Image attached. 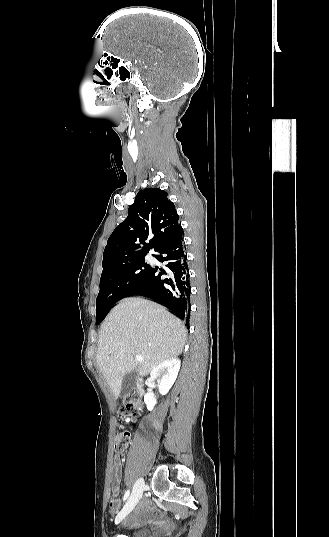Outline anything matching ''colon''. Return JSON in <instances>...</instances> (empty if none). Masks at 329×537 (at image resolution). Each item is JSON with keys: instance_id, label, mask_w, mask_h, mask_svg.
<instances>
[{"instance_id": "5ec220e1", "label": "colon", "mask_w": 329, "mask_h": 537, "mask_svg": "<svg viewBox=\"0 0 329 537\" xmlns=\"http://www.w3.org/2000/svg\"><path fill=\"white\" fill-rule=\"evenodd\" d=\"M120 415L124 423L130 424L135 417V404L132 399L128 398L120 409ZM131 433L129 430H123L115 435L114 451L123 453L129 446Z\"/></svg>"}]
</instances>
